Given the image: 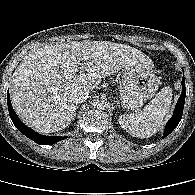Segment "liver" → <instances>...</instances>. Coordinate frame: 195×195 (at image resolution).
Listing matches in <instances>:
<instances>
[{"label":"liver","mask_w":195,"mask_h":195,"mask_svg":"<svg viewBox=\"0 0 195 195\" xmlns=\"http://www.w3.org/2000/svg\"><path fill=\"white\" fill-rule=\"evenodd\" d=\"M140 50L109 41L47 45L26 55L12 75L10 98L18 116L41 133L66 128L75 115L73 91L96 88L144 57ZM87 73L78 72L80 61Z\"/></svg>","instance_id":"obj_1"}]
</instances>
